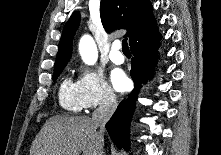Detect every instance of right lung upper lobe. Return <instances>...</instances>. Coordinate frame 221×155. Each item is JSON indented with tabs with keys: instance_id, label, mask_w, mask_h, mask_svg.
I'll list each match as a JSON object with an SVG mask.
<instances>
[{
	"instance_id": "right-lung-upper-lobe-1",
	"label": "right lung upper lobe",
	"mask_w": 221,
	"mask_h": 155,
	"mask_svg": "<svg viewBox=\"0 0 221 155\" xmlns=\"http://www.w3.org/2000/svg\"><path fill=\"white\" fill-rule=\"evenodd\" d=\"M100 16L107 31L126 29L131 44L136 37L156 24L149 0H101ZM80 14L75 12L65 24L55 68L66 65L72 55V41L79 26Z\"/></svg>"
}]
</instances>
